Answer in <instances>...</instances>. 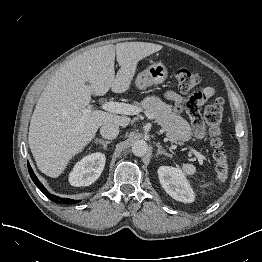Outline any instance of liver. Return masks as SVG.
I'll use <instances>...</instances> for the list:
<instances>
[{"mask_svg":"<svg viewBox=\"0 0 262 262\" xmlns=\"http://www.w3.org/2000/svg\"><path fill=\"white\" fill-rule=\"evenodd\" d=\"M159 44L124 42L88 50L64 64L40 95L31 117L28 142L38 169L58 177L69 161L83 151L100 126L126 127L131 118L101 110L86 115L91 95L129 90L137 64L161 50ZM115 56L120 66L116 76ZM89 82L90 85H87Z\"/></svg>","mask_w":262,"mask_h":262,"instance_id":"obj_1","label":"liver"}]
</instances>
